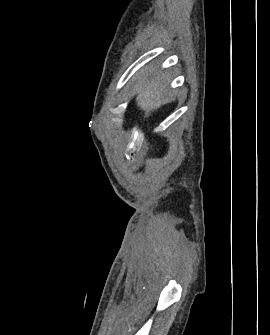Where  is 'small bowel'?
Wrapping results in <instances>:
<instances>
[{
  "instance_id": "1",
  "label": "small bowel",
  "mask_w": 270,
  "mask_h": 335,
  "mask_svg": "<svg viewBox=\"0 0 270 335\" xmlns=\"http://www.w3.org/2000/svg\"><path fill=\"white\" fill-rule=\"evenodd\" d=\"M141 160L140 158H122L121 164L122 165H140Z\"/></svg>"
}]
</instances>
